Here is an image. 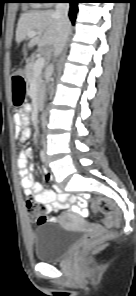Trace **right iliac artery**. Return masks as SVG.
I'll return each mask as SVG.
<instances>
[{"label": "right iliac artery", "instance_id": "82829eb1", "mask_svg": "<svg viewBox=\"0 0 136 296\" xmlns=\"http://www.w3.org/2000/svg\"><path fill=\"white\" fill-rule=\"evenodd\" d=\"M40 156H41V160L43 162H45L46 161V154H45V152L43 150L41 151Z\"/></svg>", "mask_w": 136, "mask_h": 296}]
</instances>
